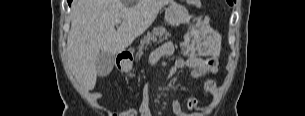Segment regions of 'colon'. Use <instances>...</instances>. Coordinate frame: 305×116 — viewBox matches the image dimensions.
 <instances>
[{
  "mask_svg": "<svg viewBox=\"0 0 305 116\" xmlns=\"http://www.w3.org/2000/svg\"><path fill=\"white\" fill-rule=\"evenodd\" d=\"M139 109L138 107H128L119 112L112 113L111 116H138Z\"/></svg>",
  "mask_w": 305,
  "mask_h": 116,
  "instance_id": "5ec220e1",
  "label": "colon"
}]
</instances>
